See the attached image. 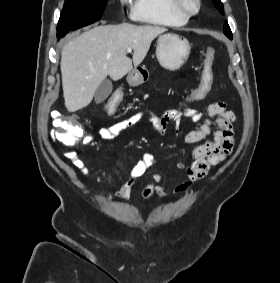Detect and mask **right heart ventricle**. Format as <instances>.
<instances>
[{"mask_svg": "<svg viewBox=\"0 0 280 283\" xmlns=\"http://www.w3.org/2000/svg\"><path fill=\"white\" fill-rule=\"evenodd\" d=\"M131 16L141 23L166 27L188 22V16L176 7L174 0H134Z\"/></svg>", "mask_w": 280, "mask_h": 283, "instance_id": "1", "label": "right heart ventricle"}]
</instances>
